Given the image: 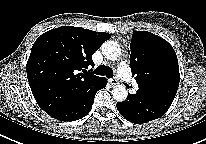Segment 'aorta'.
I'll return each mask as SVG.
<instances>
[{
    "label": "aorta",
    "instance_id": "aorta-1",
    "mask_svg": "<svg viewBox=\"0 0 206 144\" xmlns=\"http://www.w3.org/2000/svg\"><path fill=\"white\" fill-rule=\"evenodd\" d=\"M101 50L104 57L111 61L117 60L121 55L120 45L115 41L108 40L104 42ZM112 96L117 102H122L126 100L128 91L124 85L118 84L113 87Z\"/></svg>",
    "mask_w": 206,
    "mask_h": 144
}]
</instances>
